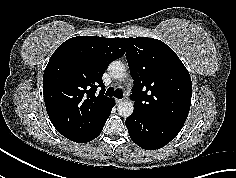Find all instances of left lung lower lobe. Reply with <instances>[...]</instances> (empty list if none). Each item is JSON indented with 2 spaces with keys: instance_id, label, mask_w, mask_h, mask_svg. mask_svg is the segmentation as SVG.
Returning a JSON list of instances; mask_svg holds the SVG:
<instances>
[{
  "instance_id": "1",
  "label": "left lung lower lobe",
  "mask_w": 236,
  "mask_h": 178,
  "mask_svg": "<svg viewBox=\"0 0 236 178\" xmlns=\"http://www.w3.org/2000/svg\"><path fill=\"white\" fill-rule=\"evenodd\" d=\"M125 123L133 142L146 150L162 148L174 139L183 127L138 111H133Z\"/></svg>"
}]
</instances>
